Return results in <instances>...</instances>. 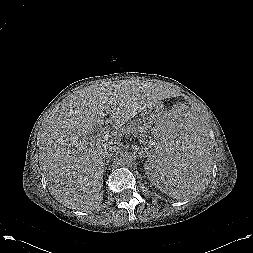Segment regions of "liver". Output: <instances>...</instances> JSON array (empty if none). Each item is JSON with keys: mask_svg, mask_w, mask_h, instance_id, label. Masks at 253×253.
<instances>
[{"mask_svg": "<svg viewBox=\"0 0 253 253\" xmlns=\"http://www.w3.org/2000/svg\"><path fill=\"white\" fill-rule=\"evenodd\" d=\"M149 83L121 81L90 85L68 97L44 124L39 164L50 194L71 209L92 211L103 200V141L90 142L94 127L108 122L116 131L157 102Z\"/></svg>", "mask_w": 253, "mask_h": 253, "instance_id": "liver-1", "label": "liver"}]
</instances>
